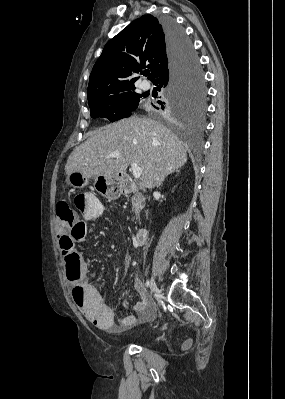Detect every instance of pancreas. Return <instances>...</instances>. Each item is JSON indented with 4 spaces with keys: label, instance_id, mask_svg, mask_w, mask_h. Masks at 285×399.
I'll return each mask as SVG.
<instances>
[{
    "label": "pancreas",
    "instance_id": "obj_1",
    "mask_svg": "<svg viewBox=\"0 0 285 399\" xmlns=\"http://www.w3.org/2000/svg\"><path fill=\"white\" fill-rule=\"evenodd\" d=\"M130 192L133 194L131 203L135 214L134 219L138 220L140 217V212L145 206V197L136 190H131Z\"/></svg>",
    "mask_w": 285,
    "mask_h": 399
}]
</instances>
